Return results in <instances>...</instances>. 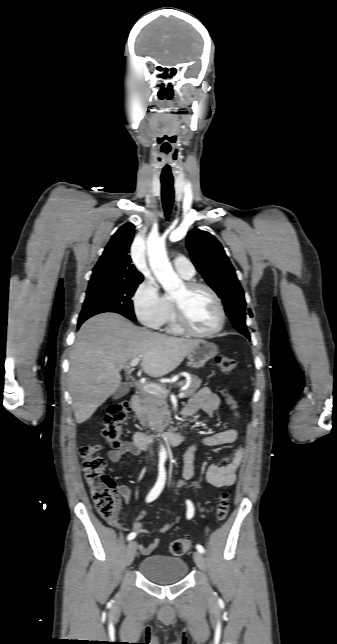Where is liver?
I'll use <instances>...</instances> for the list:
<instances>
[{"label": "liver", "instance_id": "6515ba94", "mask_svg": "<svg viewBox=\"0 0 337 644\" xmlns=\"http://www.w3.org/2000/svg\"><path fill=\"white\" fill-rule=\"evenodd\" d=\"M136 327L116 313L88 319L70 352L69 391L76 422L88 420L121 385V369L141 357L143 371L162 377L176 369L199 344Z\"/></svg>", "mask_w": 337, "mask_h": 644}]
</instances>
